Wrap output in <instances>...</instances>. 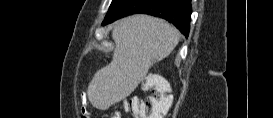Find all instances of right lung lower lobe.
I'll return each mask as SVG.
<instances>
[{
	"label": "right lung lower lobe",
	"mask_w": 273,
	"mask_h": 118,
	"mask_svg": "<svg viewBox=\"0 0 273 118\" xmlns=\"http://www.w3.org/2000/svg\"><path fill=\"white\" fill-rule=\"evenodd\" d=\"M145 13L166 19L186 37L190 30L191 0H122L105 17L103 25L132 14Z\"/></svg>",
	"instance_id": "obj_1"
}]
</instances>
